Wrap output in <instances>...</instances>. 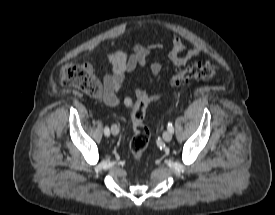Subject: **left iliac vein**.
<instances>
[{"instance_id": "4c4485c4", "label": "left iliac vein", "mask_w": 275, "mask_h": 215, "mask_svg": "<svg viewBox=\"0 0 275 215\" xmlns=\"http://www.w3.org/2000/svg\"><path fill=\"white\" fill-rule=\"evenodd\" d=\"M163 139H164V141H166V142H170L171 139H172V132L169 131V130L165 131V132L163 133Z\"/></svg>"}]
</instances>
